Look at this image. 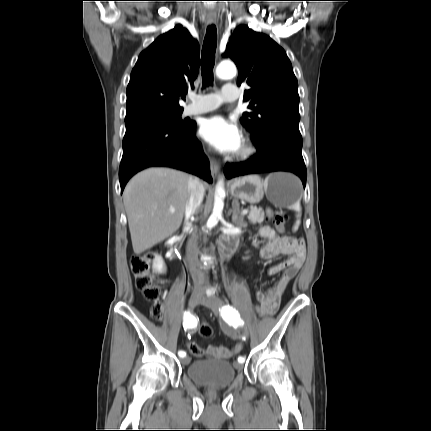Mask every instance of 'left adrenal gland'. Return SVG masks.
<instances>
[{"label": "left adrenal gland", "instance_id": "a2214340", "mask_svg": "<svg viewBox=\"0 0 431 431\" xmlns=\"http://www.w3.org/2000/svg\"><path fill=\"white\" fill-rule=\"evenodd\" d=\"M232 207H233V210H231V212H233L232 222L234 224L244 226L243 217L239 216V213H240L239 202L237 200H233Z\"/></svg>", "mask_w": 431, "mask_h": 431}]
</instances>
